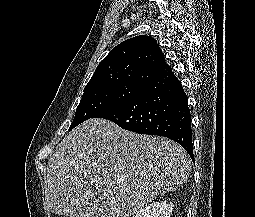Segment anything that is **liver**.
<instances>
[{
	"instance_id": "6515ba94",
	"label": "liver",
	"mask_w": 255,
	"mask_h": 217,
	"mask_svg": "<svg viewBox=\"0 0 255 217\" xmlns=\"http://www.w3.org/2000/svg\"><path fill=\"white\" fill-rule=\"evenodd\" d=\"M190 171L191 159L176 142L90 119L49 159L45 206L66 217H131L186 182Z\"/></svg>"
}]
</instances>
